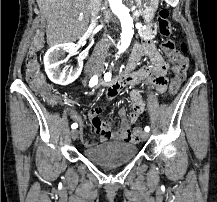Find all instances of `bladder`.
<instances>
[{"label":"bladder","mask_w":217,"mask_h":202,"mask_svg":"<svg viewBox=\"0 0 217 202\" xmlns=\"http://www.w3.org/2000/svg\"><path fill=\"white\" fill-rule=\"evenodd\" d=\"M86 158L102 166H115L130 162L137 155V148L132 143H107L84 149Z\"/></svg>","instance_id":"obj_1"}]
</instances>
